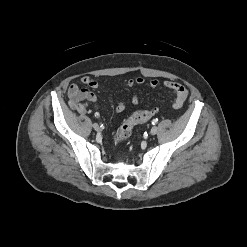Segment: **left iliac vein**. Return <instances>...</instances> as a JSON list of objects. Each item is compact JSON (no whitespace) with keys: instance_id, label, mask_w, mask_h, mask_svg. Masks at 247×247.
<instances>
[{"instance_id":"obj_1","label":"left iliac vein","mask_w":247,"mask_h":247,"mask_svg":"<svg viewBox=\"0 0 247 247\" xmlns=\"http://www.w3.org/2000/svg\"><path fill=\"white\" fill-rule=\"evenodd\" d=\"M157 131H158L157 127H156V126H153V127L151 128V130H150V134H151V135H155V134L157 133Z\"/></svg>"}]
</instances>
